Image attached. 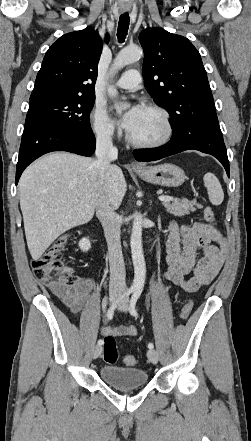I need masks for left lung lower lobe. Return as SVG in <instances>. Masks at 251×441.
<instances>
[{"mask_svg": "<svg viewBox=\"0 0 251 441\" xmlns=\"http://www.w3.org/2000/svg\"><path fill=\"white\" fill-rule=\"evenodd\" d=\"M185 150H198L216 157L229 177V161L217 116L193 115L172 132L170 141L158 148L138 149V161H154Z\"/></svg>", "mask_w": 251, "mask_h": 441, "instance_id": "left-lung-lower-lobe-1", "label": "left lung lower lobe"}]
</instances>
